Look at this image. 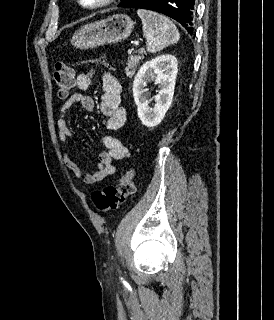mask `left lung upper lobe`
Wrapping results in <instances>:
<instances>
[{"instance_id":"obj_1","label":"left lung upper lobe","mask_w":274,"mask_h":320,"mask_svg":"<svg viewBox=\"0 0 274 320\" xmlns=\"http://www.w3.org/2000/svg\"><path fill=\"white\" fill-rule=\"evenodd\" d=\"M127 0H123L121 4L118 5V7L122 4H124Z\"/></svg>"}]
</instances>
